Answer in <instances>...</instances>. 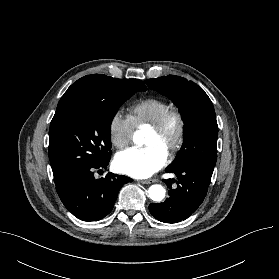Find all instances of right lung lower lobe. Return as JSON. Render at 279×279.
<instances>
[{
    "instance_id": "obj_1",
    "label": "right lung lower lobe",
    "mask_w": 279,
    "mask_h": 279,
    "mask_svg": "<svg viewBox=\"0 0 279 279\" xmlns=\"http://www.w3.org/2000/svg\"><path fill=\"white\" fill-rule=\"evenodd\" d=\"M108 161L88 165L55 181L57 193L64 206L83 221H98L107 216L114 206L121 187L132 179L108 173L95 178L96 170L107 169Z\"/></svg>"
}]
</instances>
